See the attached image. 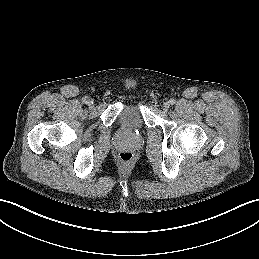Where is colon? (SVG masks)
<instances>
[{
  "mask_svg": "<svg viewBox=\"0 0 259 259\" xmlns=\"http://www.w3.org/2000/svg\"><path fill=\"white\" fill-rule=\"evenodd\" d=\"M118 158L123 165H130L134 160V154L130 151H122L119 153Z\"/></svg>",
  "mask_w": 259,
  "mask_h": 259,
  "instance_id": "5ec220e1",
  "label": "colon"
}]
</instances>
